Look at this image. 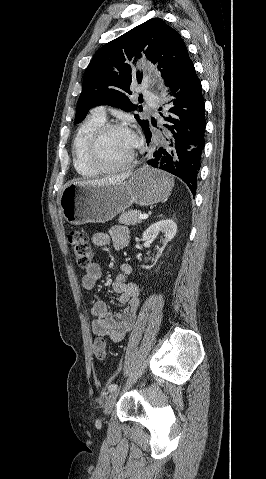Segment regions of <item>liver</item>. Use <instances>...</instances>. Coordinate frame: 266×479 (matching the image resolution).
<instances>
[{
  "label": "liver",
  "instance_id": "1",
  "mask_svg": "<svg viewBox=\"0 0 266 479\" xmlns=\"http://www.w3.org/2000/svg\"><path fill=\"white\" fill-rule=\"evenodd\" d=\"M131 175V172L123 173L120 175L106 177L102 179H94V180H84V181H76L73 184L76 185H106V184H114L117 182H122L127 179Z\"/></svg>",
  "mask_w": 266,
  "mask_h": 479
}]
</instances>
